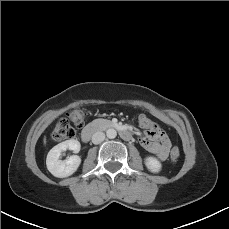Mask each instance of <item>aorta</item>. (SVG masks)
<instances>
[{
	"instance_id": "obj_1",
	"label": "aorta",
	"mask_w": 229,
	"mask_h": 229,
	"mask_svg": "<svg viewBox=\"0 0 229 229\" xmlns=\"http://www.w3.org/2000/svg\"><path fill=\"white\" fill-rule=\"evenodd\" d=\"M106 135L109 139H114L117 136V131L113 128L106 131Z\"/></svg>"
}]
</instances>
